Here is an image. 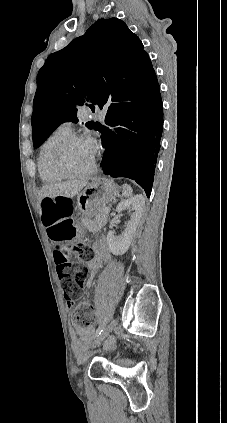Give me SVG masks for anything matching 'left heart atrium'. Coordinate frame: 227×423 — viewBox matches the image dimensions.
<instances>
[{
    "instance_id": "obj_1",
    "label": "left heart atrium",
    "mask_w": 227,
    "mask_h": 423,
    "mask_svg": "<svg viewBox=\"0 0 227 423\" xmlns=\"http://www.w3.org/2000/svg\"><path fill=\"white\" fill-rule=\"evenodd\" d=\"M87 144L90 146V148L92 149L94 155L96 156V152H97V150L99 148V141H98V139L96 137H92V138L89 139V141H88Z\"/></svg>"
}]
</instances>
